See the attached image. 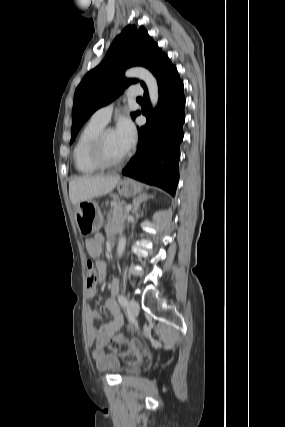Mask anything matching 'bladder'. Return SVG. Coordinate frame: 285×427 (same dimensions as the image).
I'll return each mask as SVG.
<instances>
[{
	"mask_svg": "<svg viewBox=\"0 0 285 427\" xmlns=\"http://www.w3.org/2000/svg\"><path fill=\"white\" fill-rule=\"evenodd\" d=\"M109 369L112 370V371H115L117 373L125 374V375H136V374L139 373V369L136 368V367H130V368H127V369H122L119 366V364H118L117 361L115 363H113Z\"/></svg>",
	"mask_w": 285,
	"mask_h": 427,
	"instance_id": "31cf9c89",
	"label": "bladder"
}]
</instances>
